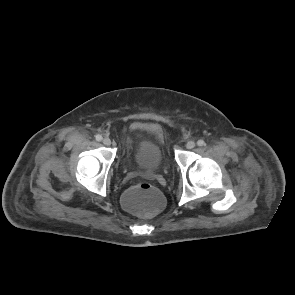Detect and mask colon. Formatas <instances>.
Segmentation results:
<instances>
[{
    "mask_svg": "<svg viewBox=\"0 0 295 295\" xmlns=\"http://www.w3.org/2000/svg\"><path fill=\"white\" fill-rule=\"evenodd\" d=\"M124 205L144 216L157 213L163 205V197L158 189L147 183L130 187L123 196Z\"/></svg>",
    "mask_w": 295,
    "mask_h": 295,
    "instance_id": "5ec220e1",
    "label": "colon"
}]
</instances>
